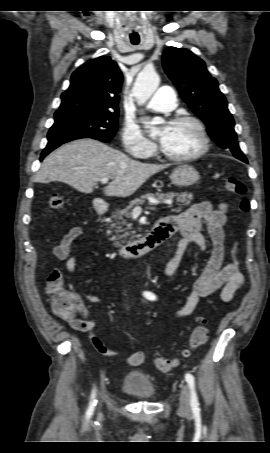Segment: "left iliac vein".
<instances>
[{
    "instance_id": "1",
    "label": "left iliac vein",
    "mask_w": 270,
    "mask_h": 453,
    "mask_svg": "<svg viewBox=\"0 0 270 453\" xmlns=\"http://www.w3.org/2000/svg\"><path fill=\"white\" fill-rule=\"evenodd\" d=\"M179 412L184 415H189L191 412L190 390L186 384L181 386Z\"/></svg>"
}]
</instances>
